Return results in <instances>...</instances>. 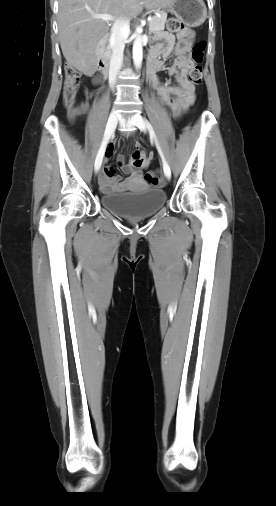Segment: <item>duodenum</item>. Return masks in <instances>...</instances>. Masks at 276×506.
<instances>
[{
    "instance_id": "1",
    "label": "duodenum",
    "mask_w": 276,
    "mask_h": 506,
    "mask_svg": "<svg viewBox=\"0 0 276 506\" xmlns=\"http://www.w3.org/2000/svg\"><path fill=\"white\" fill-rule=\"evenodd\" d=\"M107 41H108V36L103 37L99 41V43L97 45V49H96L97 69L103 75H107L109 73V68H110V59H109L107 49H106Z\"/></svg>"
}]
</instances>
